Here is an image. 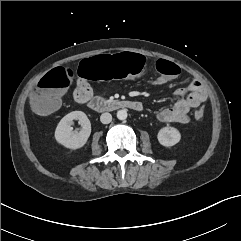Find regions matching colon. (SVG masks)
Here are the masks:
<instances>
[{
  "instance_id": "5ec220e1",
  "label": "colon",
  "mask_w": 241,
  "mask_h": 241,
  "mask_svg": "<svg viewBox=\"0 0 241 241\" xmlns=\"http://www.w3.org/2000/svg\"><path fill=\"white\" fill-rule=\"evenodd\" d=\"M156 70L162 75L174 77L180 73L179 67L173 62L163 59L155 63ZM147 69L145 60L140 55H134L128 51L106 53L102 57L95 56L78 63L76 71L80 78L112 79L136 76ZM73 78L71 70L65 67H57L43 77L37 83L36 90L31 96L32 108L41 114H46L55 109L65 89ZM194 117L201 120L204 117V109L194 112Z\"/></svg>"
}]
</instances>
